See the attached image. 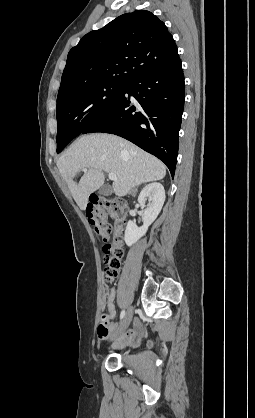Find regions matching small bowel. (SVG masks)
I'll return each mask as SVG.
<instances>
[{
    "label": "small bowel",
    "mask_w": 255,
    "mask_h": 418,
    "mask_svg": "<svg viewBox=\"0 0 255 418\" xmlns=\"http://www.w3.org/2000/svg\"><path fill=\"white\" fill-rule=\"evenodd\" d=\"M104 300H103V315H105L104 328L98 326L97 337L100 340H106L111 338L114 340V346L120 347L129 345L136 341L139 333V327L133 328L129 331H118L119 326L114 321L116 310L114 305L115 291L109 290L107 285L102 288Z\"/></svg>",
    "instance_id": "1"
}]
</instances>
